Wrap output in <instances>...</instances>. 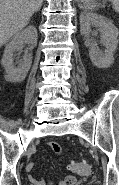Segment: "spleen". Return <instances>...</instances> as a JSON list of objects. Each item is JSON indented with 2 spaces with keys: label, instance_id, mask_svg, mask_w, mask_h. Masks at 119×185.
I'll list each match as a JSON object with an SVG mask.
<instances>
[{
  "label": "spleen",
  "instance_id": "obj_1",
  "mask_svg": "<svg viewBox=\"0 0 119 185\" xmlns=\"http://www.w3.org/2000/svg\"><path fill=\"white\" fill-rule=\"evenodd\" d=\"M80 7L84 10H95L97 5L94 0H78ZM116 12H119V0H111Z\"/></svg>",
  "mask_w": 119,
  "mask_h": 185
}]
</instances>
